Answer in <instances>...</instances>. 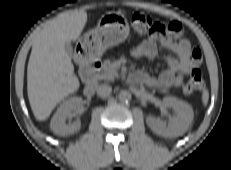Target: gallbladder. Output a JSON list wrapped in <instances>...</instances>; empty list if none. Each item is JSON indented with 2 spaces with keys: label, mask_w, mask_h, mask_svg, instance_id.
I'll list each match as a JSON object with an SVG mask.
<instances>
[{
  "label": "gallbladder",
  "mask_w": 231,
  "mask_h": 170,
  "mask_svg": "<svg viewBox=\"0 0 231 170\" xmlns=\"http://www.w3.org/2000/svg\"><path fill=\"white\" fill-rule=\"evenodd\" d=\"M64 47H65L66 52L71 56L72 53H73V48H72L71 43L70 42H66L65 45H64Z\"/></svg>",
  "instance_id": "obj_1"
}]
</instances>
